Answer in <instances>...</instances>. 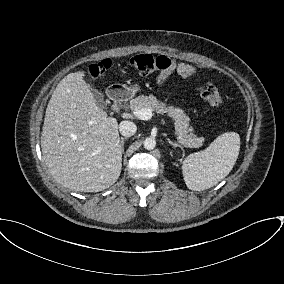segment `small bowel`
<instances>
[{
	"label": "small bowel",
	"instance_id": "obj_1",
	"mask_svg": "<svg viewBox=\"0 0 284 284\" xmlns=\"http://www.w3.org/2000/svg\"><path fill=\"white\" fill-rule=\"evenodd\" d=\"M177 72L182 77H190L196 73V69L183 62H172V65L169 69L162 71L158 77L157 81L159 84H163L167 79L174 73Z\"/></svg>",
	"mask_w": 284,
	"mask_h": 284
}]
</instances>
